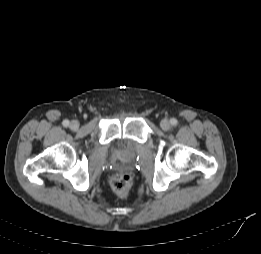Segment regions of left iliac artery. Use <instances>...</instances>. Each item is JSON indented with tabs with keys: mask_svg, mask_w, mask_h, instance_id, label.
Wrapping results in <instances>:
<instances>
[{
	"mask_svg": "<svg viewBox=\"0 0 261 254\" xmlns=\"http://www.w3.org/2000/svg\"><path fill=\"white\" fill-rule=\"evenodd\" d=\"M170 123H171V125L176 126L177 123H178V121H177V119L172 118V119L170 120Z\"/></svg>",
	"mask_w": 261,
	"mask_h": 254,
	"instance_id": "44dca946",
	"label": "left iliac artery"
}]
</instances>
